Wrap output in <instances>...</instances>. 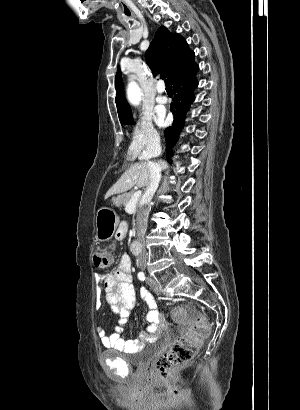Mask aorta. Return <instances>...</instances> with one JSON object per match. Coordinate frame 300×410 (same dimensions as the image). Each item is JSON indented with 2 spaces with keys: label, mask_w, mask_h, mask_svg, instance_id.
<instances>
[{
  "label": "aorta",
  "mask_w": 300,
  "mask_h": 410,
  "mask_svg": "<svg viewBox=\"0 0 300 410\" xmlns=\"http://www.w3.org/2000/svg\"><path fill=\"white\" fill-rule=\"evenodd\" d=\"M142 92L135 81H130L127 87V98L133 105H138L141 101Z\"/></svg>",
  "instance_id": "aorta-1"
}]
</instances>
